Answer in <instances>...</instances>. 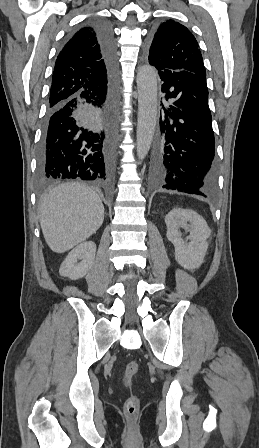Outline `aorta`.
<instances>
[{"mask_svg":"<svg viewBox=\"0 0 259 448\" xmlns=\"http://www.w3.org/2000/svg\"><path fill=\"white\" fill-rule=\"evenodd\" d=\"M157 71L150 65L139 68L136 77L138 91V123L136 149L143 160L152 144L157 120Z\"/></svg>","mask_w":259,"mask_h":448,"instance_id":"obj_1","label":"aorta"}]
</instances>
